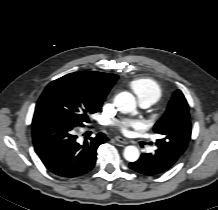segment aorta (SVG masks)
<instances>
[{
    "label": "aorta",
    "instance_id": "obj_1",
    "mask_svg": "<svg viewBox=\"0 0 218 210\" xmlns=\"http://www.w3.org/2000/svg\"><path fill=\"white\" fill-rule=\"evenodd\" d=\"M115 106L122 113H133L136 109V100L129 92H121L115 98ZM140 156L139 150L135 146H127L124 149V158L129 162H135Z\"/></svg>",
    "mask_w": 218,
    "mask_h": 210
}]
</instances>
